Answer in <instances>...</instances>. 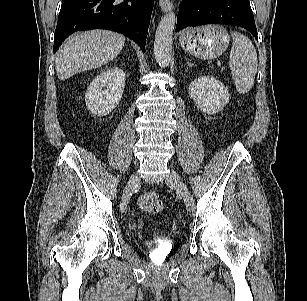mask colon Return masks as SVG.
<instances>
[{
    "label": "colon",
    "mask_w": 307,
    "mask_h": 301,
    "mask_svg": "<svg viewBox=\"0 0 307 301\" xmlns=\"http://www.w3.org/2000/svg\"><path fill=\"white\" fill-rule=\"evenodd\" d=\"M139 207L148 214H157L163 208V203L158 193L149 191L143 193L139 198Z\"/></svg>",
    "instance_id": "obj_1"
}]
</instances>
